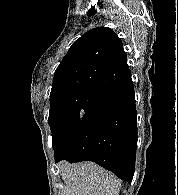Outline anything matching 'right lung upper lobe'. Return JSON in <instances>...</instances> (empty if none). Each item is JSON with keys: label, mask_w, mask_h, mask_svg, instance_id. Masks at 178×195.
<instances>
[{"label": "right lung upper lobe", "mask_w": 178, "mask_h": 195, "mask_svg": "<svg viewBox=\"0 0 178 195\" xmlns=\"http://www.w3.org/2000/svg\"><path fill=\"white\" fill-rule=\"evenodd\" d=\"M131 78L120 38L107 27L76 40L57 67L50 98L71 92H99Z\"/></svg>", "instance_id": "right-lung-upper-lobe-1"}]
</instances>
